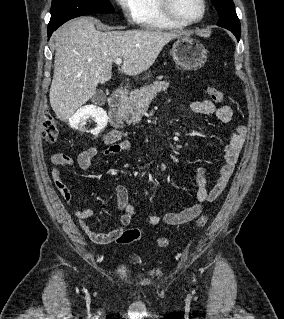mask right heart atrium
<instances>
[{
	"instance_id": "d8ad5b80",
	"label": "right heart atrium",
	"mask_w": 284,
	"mask_h": 319,
	"mask_svg": "<svg viewBox=\"0 0 284 319\" xmlns=\"http://www.w3.org/2000/svg\"><path fill=\"white\" fill-rule=\"evenodd\" d=\"M139 0H115L116 5L129 23H135L138 15Z\"/></svg>"
}]
</instances>
